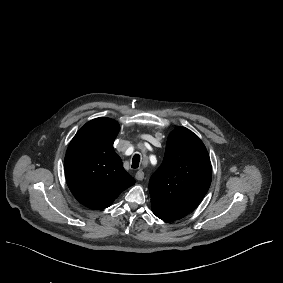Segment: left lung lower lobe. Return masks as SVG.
<instances>
[{
	"label": "left lung lower lobe",
	"instance_id": "left-lung-lower-lobe-1",
	"mask_svg": "<svg viewBox=\"0 0 283 283\" xmlns=\"http://www.w3.org/2000/svg\"><path fill=\"white\" fill-rule=\"evenodd\" d=\"M152 211L158 218L165 220V221L177 220L187 215L186 213H183V212L171 211V210H166V209L152 208Z\"/></svg>",
	"mask_w": 283,
	"mask_h": 283
}]
</instances>
